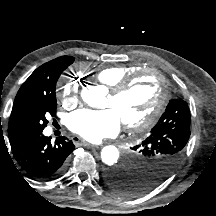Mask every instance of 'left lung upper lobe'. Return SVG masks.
<instances>
[{"instance_id": "1", "label": "left lung upper lobe", "mask_w": 216, "mask_h": 216, "mask_svg": "<svg viewBox=\"0 0 216 216\" xmlns=\"http://www.w3.org/2000/svg\"><path fill=\"white\" fill-rule=\"evenodd\" d=\"M190 111L183 100H170L150 135L134 147L140 164L130 167L133 194L139 196L154 188L177 165L190 137Z\"/></svg>"}]
</instances>
